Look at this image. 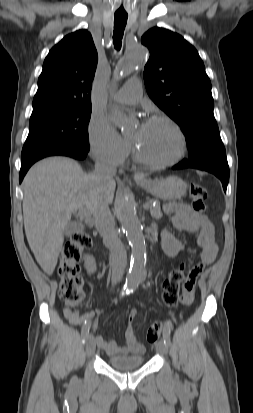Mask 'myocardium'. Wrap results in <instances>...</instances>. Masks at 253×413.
I'll return each mask as SVG.
<instances>
[{"instance_id": "1", "label": "myocardium", "mask_w": 253, "mask_h": 413, "mask_svg": "<svg viewBox=\"0 0 253 413\" xmlns=\"http://www.w3.org/2000/svg\"><path fill=\"white\" fill-rule=\"evenodd\" d=\"M155 121H163V122L167 123L172 128V130L175 132V134L178 138L177 153L175 154L174 157H172L171 159H169L167 161H161V162L153 161V160L148 159L147 157H145L135 144V145H133L134 155L140 163H142L146 166H149V167H152V168H167V167H170V166H173V165L177 164L183 158V156L186 152V147H187L185 135H184L182 129L180 128V126L172 118H170L167 115H164V114L153 115V116L149 117L146 120V123L155 122Z\"/></svg>"}]
</instances>
